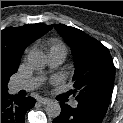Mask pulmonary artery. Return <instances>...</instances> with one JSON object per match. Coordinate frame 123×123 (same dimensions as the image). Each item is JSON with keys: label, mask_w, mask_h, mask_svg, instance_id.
Returning a JSON list of instances; mask_svg holds the SVG:
<instances>
[{"label": "pulmonary artery", "mask_w": 123, "mask_h": 123, "mask_svg": "<svg viewBox=\"0 0 123 123\" xmlns=\"http://www.w3.org/2000/svg\"><path fill=\"white\" fill-rule=\"evenodd\" d=\"M67 50L65 48H55L49 50L48 58L50 67L54 68L63 63L66 58ZM43 79L41 77H33L29 79L18 80L11 85L12 92H18L20 90H33L39 87ZM78 102L76 100L71 102L73 108L77 107Z\"/></svg>", "instance_id": "obj_1"}]
</instances>
